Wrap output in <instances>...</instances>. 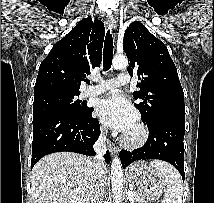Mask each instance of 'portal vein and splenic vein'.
I'll use <instances>...</instances> for the list:
<instances>
[{
	"mask_svg": "<svg viewBox=\"0 0 214 203\" xmlns=\"http://www.w3.org/2000/svg\"><path fill=\"white\" fill-rule=\"evenodd\" d=\"M134 197V192L132 190H128L127 192V198L132 201Z\"/></svg>",
	"mask_w": 214,
	"mask_h": 203,
	"instance_id": "portal-vein-and-splenic-vein-1",
	"label": "portal vein and splenic vein"
}]
</instances>
